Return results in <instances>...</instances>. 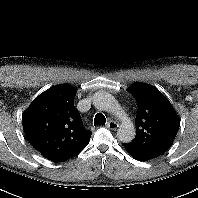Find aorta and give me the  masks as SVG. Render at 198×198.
<instances>
[{
  "label": "aorta",
  "instance_id": "1",
  "mask_svg": "<svg viewBox=\"0 0 198 198\" xmlns=\"http://www.w3.org/2000/svg\"><path fill=\"white\" fill-rule=\"evenodd\" d=\"M93 104L97 109L114 113L122 119V124L117 132L120 141L128 143L134 139L135 127L133 123L126 118L119 104L111 94L106 92L95 93L93 96Z\"/></svg>",
  "mask_w": 198,
  "mask_h": 198
}]
</instances>
